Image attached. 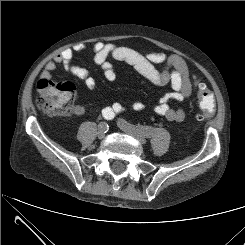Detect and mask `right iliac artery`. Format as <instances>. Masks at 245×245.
<instances>
[{
    "instance_id": "82829eb1",
    "label": "right iliac artery",
    "mask_w": 245,
    "mask_h": 245,
    "mask_svg": "<svg viewBox=\"0 0 245 245\" xmlns=\"http://www.w3.org/2000/svg\"><path fill=\"white\" fill-rule=\"evenodd\" d=\"M102 115L107 120L111 119L110 116H108V113H106L104 110L102 111ZM99 126H101L105 133L108 131V125L105 122H101Z\"/></svg>"
}]
</instances>
